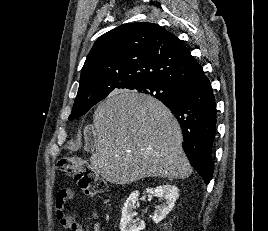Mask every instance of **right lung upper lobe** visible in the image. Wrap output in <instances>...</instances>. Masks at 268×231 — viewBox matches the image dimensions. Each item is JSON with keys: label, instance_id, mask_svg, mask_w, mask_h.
Here are the masks:
<instances>
[{"label": "right lung upper lobe", "instance_id": "cb5924a9", "mask_svg": "<svg viewBox=\"0 0 268 231\" xmlns=\"http://www.w3.org/2000/svg\"><path fill=\"white\" fill-rule=\"evenodd\" d=\"M203 74L202 66L174 34L153 23H127L94 43L74 105L98 103L114 90L148 82L176 88Z\"/></svg>", "mask_w": 268, "mask_h": 231}]
</instances>
